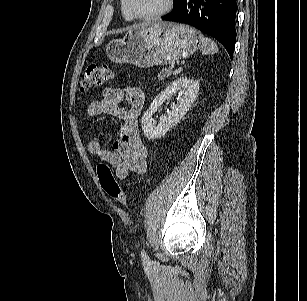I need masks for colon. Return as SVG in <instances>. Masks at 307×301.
Wrapping results in <instances>:
<instances>
[{
	"instance_id": "obj_1",
	"label": "colon",
	"mask_w": 307,
	"mask_h": 301,
	"mask_svg": "<svg viewBox=\"0 0 307 301\" xmlns=\"http://www.w3.org/2000/svg\"><path fill=\"white\" fill-rule=\"evenodd\" d=\"M115 78L114 71L107 65L90 64L86 68L80 83V90L86 92L99 87L104 82ZM99 182L105 193L115 199L123 207H128V199L120 184L114 177L112 170L106 163L97 167Z\"/></svg>"
}]
</instances>
